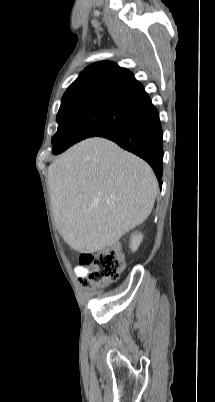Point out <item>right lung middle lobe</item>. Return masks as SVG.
I'll return each mask as SVG.
<instances>
[{
    "label": "right lung middle lobe",
    "instance_id": "1",
    "mask_svg": "<svg viewBox=\"0 0 215 402\" xmlns=\"http://www.w3.org/2000/svg\"><path fill=\"white\" fill-rule=\"evenodd\" d=\"M143 107L103 93L63 97L57 114L58 130L52 138L53 153L59 154L85 138L102 137L119 130Z\"/></svg>",
    "mask_w": 215,
    "mask_h": 402
}]
</instances>
